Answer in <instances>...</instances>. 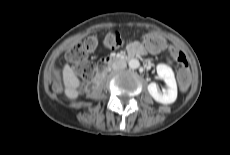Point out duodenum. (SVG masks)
<instances>
[{"instance_id":"1","label":"duodenum","mask_w":230,"mask_h":155,"mask_svg":"<svg viewBox=\"0 0 230 155\" xmlns=\"http://www.w3.org/2000/svg\"><path fill=\"white\" fill-rule=\"evenodd\" d=\"M137 55L135 52L128 51L125 55H119V56H108L106 57L99 65V71L97 78L99 79L100 76L106 71V69L113 63L119 62V61H126L131 59Z\"/></svg>"}]
</instances>
